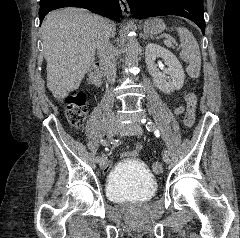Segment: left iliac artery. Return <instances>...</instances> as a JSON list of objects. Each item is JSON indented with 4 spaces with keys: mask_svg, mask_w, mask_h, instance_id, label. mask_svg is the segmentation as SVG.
Instances as JSON below:
<instances>
[{
    "mask_svg": "<svg viewBox=\"0 0 240 238\" xmlns=\"http://www.w3.org/2000/svg\"><path fill=\"white\" fill-rule=\"evenodd\" d=\"M145 127L148 131H153V129H155V125L152 122H147ZM163 153L168 154V152H165V151Z\"/></svg>",
    "mask_w": 240,
    "mask_h": 238,
    "instance_id": "obj_1",
    "label": "left iliac artery"
}]
</instances>
